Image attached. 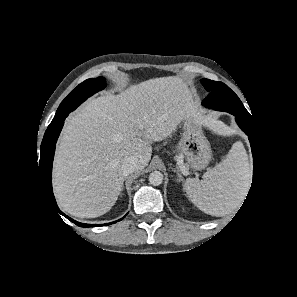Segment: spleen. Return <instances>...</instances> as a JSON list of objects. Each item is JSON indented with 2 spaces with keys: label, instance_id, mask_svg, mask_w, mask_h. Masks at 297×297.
I'll return each instance as SVG.
<instances>
[{
  "label": "spleen",
  "instance_id": "3e777b00",
  "mask_svg": "<svg viewBox=\"0 0 297 297\" xmlns=\"http://www.w3.org/2000/svg\"><path fill=\"white\" fill-rule=\"evenodd\" d=\"M250 181L248 156L242 142L238 141L221 163L204 173L201 181L188 178L184 187L200 210L212 216H223L238 209Z\"/></svg>",
  "mask_w": 297,
  "mask_h": 297
}]
</instances>
